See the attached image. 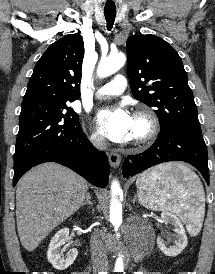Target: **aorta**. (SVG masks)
Here are the masks:
<instances>
[{"label": "aorta", "mask_w": 215, "mask_h": 274, "mask_svg": "<svg viewBox=\"0 0 215 274\" xmlns=\"http://www.w3.org/2000/svg\"><path fill=\"white\" fill-rule=\"evenodd\" d=\"M125 61L126 57L123 53L111 54L107 58L101 59L97 68V73L100 77H108L118 71L125 64ZM111 193L110 221L115 227H118L122 223V205L117 196L122 193V190L117 181H113L111 185ZM123 268V257L119 254L115 264V271L122 272Z\"/></svg>", "instance_id": "1"}]
</instances>
